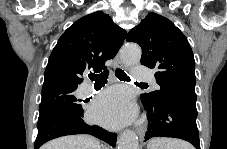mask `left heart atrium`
I'll list each match as a JSON object with an SVG mask.
<instances>
[{"instance_id":"1","label":"left heart atrium","mask_w":227,"mask_h":149,"mask_svg":"<svg viewBox=\"0 0 227 149\" xmlns=\"http://www.w3.org/2000/svg\"><path fill=\"white\" fill-rule=\"evenodd\" d=\"M135 115V107L127 92L119 87L101 93L90 110V117L109 127H120L130 122Z\"/></svg>"}]
</instances>
